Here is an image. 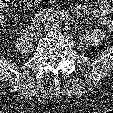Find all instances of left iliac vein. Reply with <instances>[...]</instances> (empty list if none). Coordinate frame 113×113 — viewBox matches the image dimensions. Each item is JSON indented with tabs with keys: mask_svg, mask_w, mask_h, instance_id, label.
<instances>
[{
	"mask_svg": "<svg viewBox=\"0 0 113 113\" xmlns=\"http://www.w3.org/2000/svg\"><path fill=\"white\" fill-rule=\"evenodd\" d=\"M46 31H48V32H50V31H52V28L50 27V25L48 26H46Z\"/></svg>",
	"mask_w": 113,
	"mask_h": 113,
	"instance_id": "obj_1",
	"label": "left iliac vein"
}]
</instances>
